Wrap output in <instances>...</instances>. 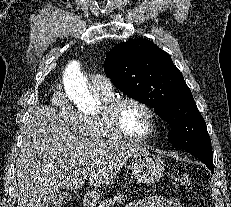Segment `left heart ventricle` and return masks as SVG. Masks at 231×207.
<instances>
[{"label":"left heart ventricle","instance_id":"left-heart-ventricle-1","mask_svg":"<svg viewBox=\"0 0 231 207\" xmlns=\"http://www.w3.org/2000/svg\"><path fill=\"white\" fill-rule=\"evenodd\" d=\"M119 120L125 132L133 137L147 134L150 128L148 114L142 107L134 103H126L121 107Z\"/></svg>","mask_w":231,"mask_h":207}]
</instances>
